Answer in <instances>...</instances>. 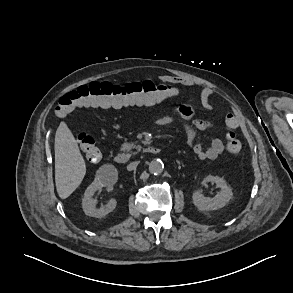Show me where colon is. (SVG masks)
<instances>
[{
  "label": "colon",
  "instance_id": "5ec220e1",
  "mask_svg": "<svg viewBox=\"0 0 293 293\" xmlns=\"http://www.w3.org/2000/svg\"><path fill=\"white\" fill-rule=\"evenodd\" d=\"M176 93L174 87L160 82L143 81L117 85L107 81H93L62 96L55 107V114L62 117L89 106L119 108L143 101H161L175 96ZM238 125L236 116L227 115L226 149L235 156L241 151V144L234 132ZM77 142L88 161L96 163L100 160L101 152L91 135L81 132L77 136Z\"/></svg>",
  "mask_w": 293,
  "mask_h": 293
}]
</instances>
